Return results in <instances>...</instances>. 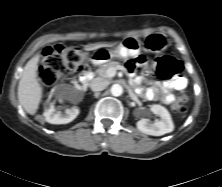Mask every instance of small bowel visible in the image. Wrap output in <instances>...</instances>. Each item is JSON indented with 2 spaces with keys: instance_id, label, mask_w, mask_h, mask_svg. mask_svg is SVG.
Instances as JSON below:
<instances>
[{
  "instance_id": "1",
  "label": "small bowel",
  "mask_w": 222,
  "mask_h": 187,
  "mask_svg": "<svg viewBox=\"0 0 222 187\" xmlns=\"http://www.w3.org/2000/svg\"><path fill=\"white\" fill-rule=\"evenodd\" d=\"M186 86V79L181 76H176L170 81L161 82L157 84L154 88L147 89L144 92V97L147 100L159 101L163 104L170 105L175 101L173 91L183 90L186 88Z\"/></svg>"
}]
</instances>
